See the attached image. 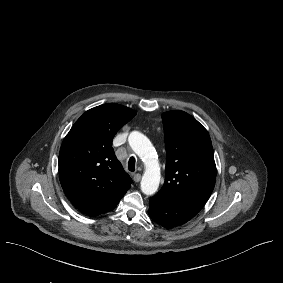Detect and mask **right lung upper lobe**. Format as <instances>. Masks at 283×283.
Wrapping results in <instances>:
<instances>
[{
	"label": "right lung upper lobe",
	"mask_w": 283,
	"mask_h": 283,
	"mask_svg": "<svg viewBox=\"0 0 283 283\" xmlns=\"http://www.w3.org/2000/svg\"><path fill=\"white\" fill-rule=\"evenodd\" d=\"M115 103L86 111L63 140L59 176L64 193L81 212L98 216L114 209L132 179L115 156L112 140L135 116Z\"/></svg>",
	"instance_id": "cb5924a9"
}]
</instances>
